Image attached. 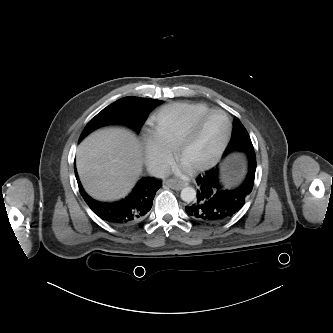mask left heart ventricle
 Segmentation results:
<instances>
[{"label": "left heart ventricle", "instance_id": "b2bd125f", "mask_svg": "<svg viewBox=\"0 0 333 333\" xmlns=\"http://www.w3.org/2000/svg\"><path fill=\"white\" fill-rule=\"evenodd\" d=\"M226 129L227 121L223 115H211L201 124L182 153L180 163L190 168L209 160L221 142Z\"/></svg>", "mask_w": 333, "mask_h": 333}]
</instances>
